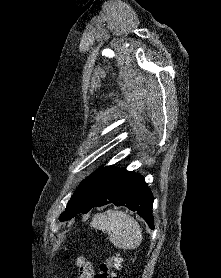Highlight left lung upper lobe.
<instances>
[{"label":"left lung upper lobe","instance_id":"left-lung-upper-lobe-1","mask_svg":"<svg viewBox=\"0 0 221 278\" xmlns=\"http://www.w3.org/2000/svg\"><path fill=\"white\" fill-rule=\"evenodd\" d=\"M100 170L95 171L94 173H92L90 176H88L85 180H83V182L80 184V186L78 187V189L74 192V194L72 195L70 201L67 204V207L65 209V211L61 214L60 216V220L64 221L72 212L73 207L75 206L77 200L79 199V197L81 196V194L83 193V191L85 190V188L87 187V185L90 183V181L92 180V178L99 172Z\"/></svg>","mask_w":221,"mask_h":278}]
</instances>
